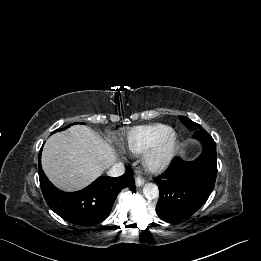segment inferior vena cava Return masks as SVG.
<instances>
[{
	"mask_svg": "<svg viewBox=\"0 0 261 261\" xmlns=\"http://www.w3.org/2000/svg\"><path fill=\"white\" fill-rule=\"evenodd\" d=\"M125 172L124 165L121 162L114 163L109 170L107 171V175L111 177H118L123 175Z\"/></svg>",
	"mask_w": 261,
	"mask_h": 261,
	"instance_id": "1",
	"label": "inferior vena cava"
}]
</instances>
